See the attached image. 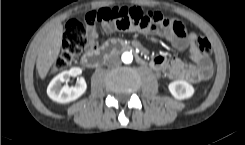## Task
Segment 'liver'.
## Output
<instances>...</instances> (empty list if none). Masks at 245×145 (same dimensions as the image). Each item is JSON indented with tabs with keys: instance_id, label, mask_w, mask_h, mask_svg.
Masks as SVG:
<instances>
[{
	"instance_id": "obj_1",
	"label": "liver",
	"mask_w": 245,
	"mask_h": 145,
	"mask_svg": "<svg viewBox=\"0 0 245 145\" xmlns=\"http://www.w3.org/2000/svg\"><path fill=\"white\" fill-rule=\"evenodd\" d=\"M63 26L52 28L41 42L36 67L41 79H44L54 62H56L62 46Z\"/></svg>"
}]
</instances>
